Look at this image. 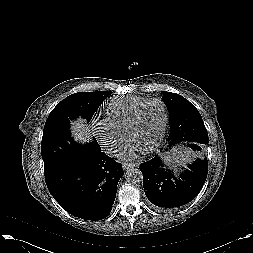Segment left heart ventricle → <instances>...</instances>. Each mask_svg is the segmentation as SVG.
<instances>
[{"label":"left heart ventricle","mask_w":253,"mask_h":253,"mask_svg":"<svg viewBox=\"0 0 253 253\" xmlns=\"http://www.w3.org/2000/svg\"><path fill=\"white\" fill-rule=\"evenodd\" d=\"M163 121L164 111L162 105L158 102H153L143 110L135 128L128 137L143 147V149H147L157 140Z\"/></svg>","instance_id":"left-heart-ventricle-1"}]
</instances>
